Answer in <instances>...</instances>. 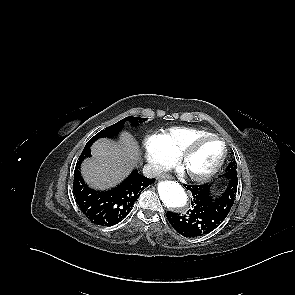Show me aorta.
Returning a JSON list of instances; mask_svg holds the SVG:
<instances>
[{"label":"aorta","instance_id":"762f6f07","mask_svg":"<svg viewBox=\"0 0 295 295\" xmlns=\"http://www.w3.org/2000/svg\"><path fill=\"white\" fill-rule=\"evenodd\" d=\"M157 189L160 199L168 208H182L188 202L185 190L175 181H160Z\"/></svg>","mask_w":295,"mask_h":295}]
</instances>
